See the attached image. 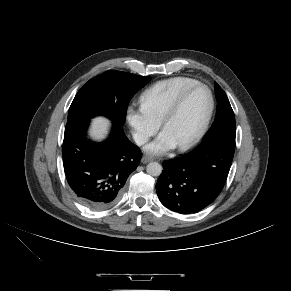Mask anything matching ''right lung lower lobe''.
Wrapping results in <instances>:
<instances>
[{
    "mask_svg": "<svg viewBox=\"0 0 291 291\" xmlns=\"http://www.w3.org/2000/svg\"><path fill=\"white\" fill-rule=\"evenodd\" d=\"M88 124L89 120L67 122L64 171L77 199L92 210H103L116 202L141 154L124 135L122 125L113 123L109 138L94 144L85 137Z\"/></svg>",
    "mask_w": 291,
    "mask_h": 291,
    "instance_id": "1",
    "label": "right lung lower lobe"
}]
</instances>
